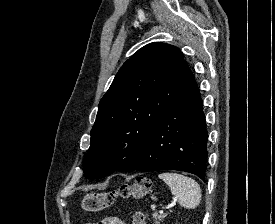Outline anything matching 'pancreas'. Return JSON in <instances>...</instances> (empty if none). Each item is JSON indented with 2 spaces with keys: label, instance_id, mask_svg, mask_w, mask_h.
Listing matches in <instances>:
<instances>
[{
  "label": "pancreas",
  "instance_id": "cf45deb5",
  "mask_svg": "<svg viewBox=\"0 0 275 224\" xmlns=\"http://www.w3.org/2000/svg\"><path fill=\"white\" fill-rule=\"evenodd\" d=\"M154 218V224H160V221L163 220L164 215H153Z\"/></svg>",
  "mask_w": 275,
  "mask_h": 224
}]
</instances>
